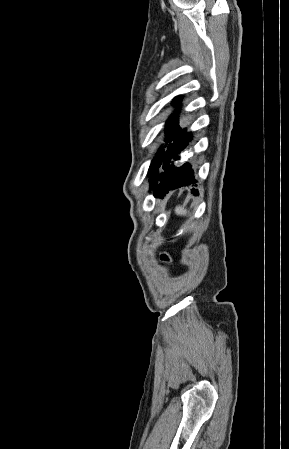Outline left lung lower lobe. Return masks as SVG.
Instances as JSON below:
<instances>
[{"label":"left lung lower lobe","mask_w":289,"mask_h":449,"mask_svg":"<svg viewBox=\"0 0 289 449\" xmlns=\"http://www.w3.org/2000/svg\"><path fill=\"white\" fill-rule=\"evenodd\" d=\"M192 139V134L187 133L186 129L180 130L171 140L173 143L168 145V150L164 154L162 162V171L150 178L151 189L154 195H163L169 190L177 189L182 186L195 184L194 170L189 163L177 166L176 161L180 159V152L186 148ZM191 192L197 195V191L192 189Z\"/></svg>","instance_id":"obj_1"}]
</instances>
